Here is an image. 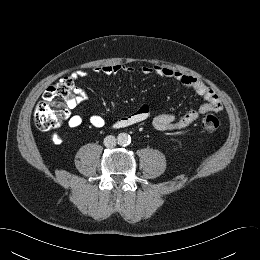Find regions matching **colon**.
Instances as JSON below:
<instances>
[{
    "label": "colon",
    "instance_id": "5ec220e1",
    "mask_svg": "<svg viewBox=\"0 0 260 260\" xmlns=\"http://www.w3.org/2000/svg\"><path fill=\"white\" fill-rule=\"evenodd\" d=\"M77 98L74 81L65 76L49 86L34 111V122L38 129L49 131L58 127L68 114L69 104ZM203 130L218 131L220 120L216 114H206L201 120Z\"/></svg>",
    "mask_w": 260,
    "mask_h": 260
}]
</instances>
